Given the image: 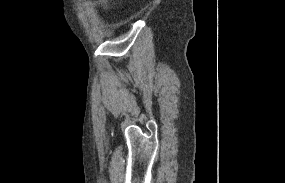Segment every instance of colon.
<instances>
[{
    "mask_svg": "<svg viewBox=\"0 0 285 183\" xmlns=\"http://www.w3.org/2000/svg\"><path fill=\"white\" fill-rule=\"evenodd\" d=\"M103 3H104L103 0H101V4H102V5H103Z\"/></svg>",
    "mask_w": 285,
    "mask_h": 183,
    "instance_id": "5ec220e1",
    "label": "colon"
}]
</instances>
